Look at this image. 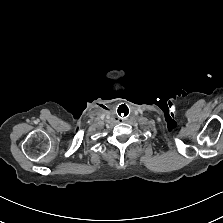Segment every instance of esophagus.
Wrapping results in <instances>:
<instances>
[{"label":"esophagus","mask_w":223,"mask_h":223,"mask_svg":"<svg viewBox=\"0 0 223 223\" xmlns=\"http://www.w3.org/2000/svg\"><path fill=\"white\" fill-rule=\"evenodd\" d=\"M121 107H123V105H122V106H120V107H119V109H120ZM126 113H127V110H126Z\"/></svg>","instance_id":"esophagus-1"}]
</instances>
